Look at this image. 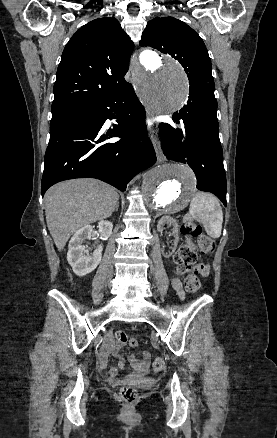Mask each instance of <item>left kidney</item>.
<instances>
[{"mask_svg":"<svg viewBox=\"0 0 277 438\" xmlns=\"http://www.w3.org/2000/svg\"><path fill=\"white\" fill-rule=\"evenodd\" d=\"M165 224H172V226H173V234H174V238H175L173 252H175L176 246L179 242V238H178L179 226H178L176 220H173V218H171V216H163V218H161V220H159V222L157 224L158 232H163ZM164 256H165V254H164ZM170 256H171V254H170ZM165 258H169V256H165Z\"/></svg>","mask_w":277,"mask_h":438,"instance_id":"left-kidney-1","label":"left kidney"}]
</instances>
